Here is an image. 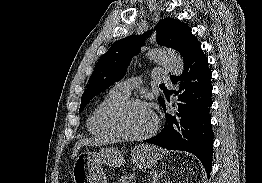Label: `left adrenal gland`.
Returning <instances> with one entry per match:
<instances>
[{"label":"left adrenal gland","instance_id":"1","mask_svg":"<svg viewBox=\"0 0 262 183\" xmlns=\"http://www.w3.org/2000/svg\"><path fill=\"white\" fill-rule=\"evenodd\" d=\"M163 171H154L152 175L151 183H157V181L162 177Z\"/></svg>","mask_w":262,"mask_h":183}]
</instances>
